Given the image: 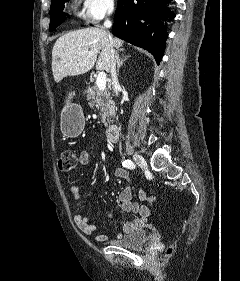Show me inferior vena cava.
Returning <instances> with one entry per match:
<instances>
[{
    "label": "inferior vena cava",
    "instance_id": "1",
    "mask_svg": "<svg viewBox=\"0 0 240 281\" xmlns=\"http://www.w3.org/2000/svg\"><path fill=\"white\" fill-rule=\"evenodd\" d=\"M113 11V8L109 9L108 11V15H110ZM112 26V23L109 19H106L104 22V27L106 28H110ZM109 40H110V44H111V49H110V59H111V78H112V86H113V91L116 94V96L118 95L119 92V82H118V78H117V73H116V53H115V49L113 47V42H112V38L109 35Z\"/></svg>",
    "mask_w": 240,
    "mask_h": 281
}]
</instances>
